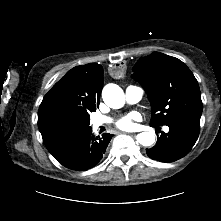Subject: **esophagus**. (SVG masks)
Instances as JSON below:
<instances>
[{"instance_id":"obj_1","label":"esophagus","mask_w":221,"mask_h":221,"mask_svg":"<svg viewBox=\"0 0 221 221\" xmlns=\"http://www.w3.org/2000/svg\"><path fill=\"white\" fill-rule=\"evenodd\" d=\"M118 133H123V136H128V134L132 136L135 135L133 133H128V131H123V132L119 131Z\"/></svg>"}]
</instances>
